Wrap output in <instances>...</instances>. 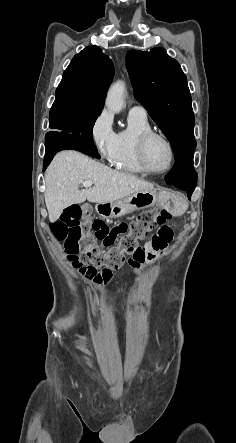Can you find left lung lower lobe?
Returning a JSON list of instances; mask_svg holds the SVG:
<instances>
[{
	"mask_svg": "<svg viewBox=\"0 0 236 443\" xmlns=\"http://www.w3.org/2000/svg\"><path fill=\"white\" fill-rule=\"evenodd\" d=\"M194 151H189L176 159L172 170L166 175L167 184L185 190L190 199L197 183V173L193 168Z\"/></svg>",
	"mask_w": 236,
	"mask_h": 443,
	"instance_id": "0a47b994",
	"label": "left lung lower lobe"
}]
</instances>
